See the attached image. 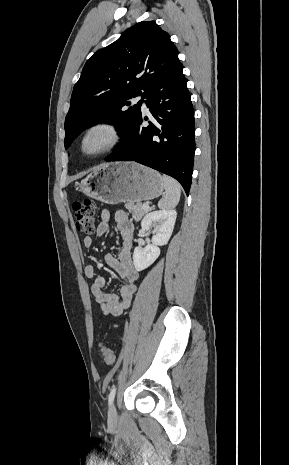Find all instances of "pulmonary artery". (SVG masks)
<instances>
[{"label": "pulmonary artery", "mask_w": 289, "mask_h": 465, "mask_svg": "<svg viewBox=\"0 0 289 465\" xmlns=\"http://www.w3.org/2000/svg\"><path fill=\"white\" fill-rule=\"evenodd\" d=\"M135 101H141V103H142V108H143L144 110H147L146 101H145V99H144L141 95L138 96V97H136V98H135Z\"/></svg>", "instance_id": "pulmonary-artery-1"}]
</instances>
